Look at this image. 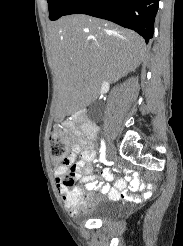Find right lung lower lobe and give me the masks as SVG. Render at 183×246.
Instances as JSON below:
<instances>
[{
    "instance_id": "obj_1",
    "label": "right lung lower lobe",
    "mask_w": 183,
    "mask_h": 246,
    "mask_svg": "<svg viewBox=\"0 0 183 246\" xmlns=\"http://www.w3.org/2000/svg\"><path fill=\"white\" fill-rule=\"evenodd\" d=\"M159 0H75L65 15L87 14L106 19L140 34L153 37Z\"/></svg>"
}]
</instances>
